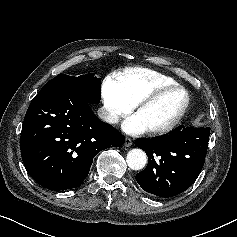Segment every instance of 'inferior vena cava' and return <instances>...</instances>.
<instances>
[{"mask_svg":"<svg viewBox=\"0 0 237 237\" xmlns=\"http://www.w3.org/2000/svg\"><path fill=\"white\" fill-rule=\"evenodd\" d=\"M98 115L102 120L106 121L107 123L115 124L119 121V117L116 114L110 112L104 107L98 109Z\"/></svg>","mask_w":237,"mask_h":237,"instance_id":"inferior-vena-cava-1","label":"inferior vena cava"}]
</instances>
